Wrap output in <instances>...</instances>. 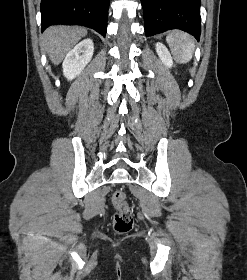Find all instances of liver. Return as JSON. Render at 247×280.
Masks as SVG:
<instances>
[{"label":"liver","mask_w":247,"mask_h":280,"mask_svg":"<svg viewBox=\"0 0 247 280\" xmlns=\"http://www.w3.org/2000/svg\"><path fill=\"white\" fill-rule=\"evenodd\" d=\"M86 34V29L81 27L51 26L43 34V47L52 63L58 65Z\"/></svg>","instance_id":"6515ba94"}]
</instances>
